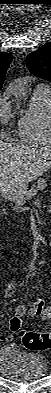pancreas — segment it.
I'll return each mask as SVG.
<instances>
[{"mask_svg":"<svg viewBox=\"0 0 51 393\" xmlns=\"http://www.w3.org/2000/svg\"><path fill=\"white\" fill-rule=\"evenodd\" d=\"M47 187H48V183L46 179L43 178L38 179L37 182L32 185L31 189L26 191V193L23 196L19 197L16 200L17 204L23 205L27 200L37 195L39 191L45 190Z\"/></svg>","mask_w":51,"mask_h":393,"instance_id":"cf45deb5","label":"pancreas"}]
</instances>
